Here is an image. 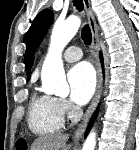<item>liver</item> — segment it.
<instances>
[{
    "label": "liver",
    "instance_id": "liver-1",
    "mask_svg": "<svg viewBox=\"0 0 139 150\" xmlns=\"http://www.w3.org/2000/svg\"><path fill=\"white\" fill-rule=\"evenodd\" d=\"M69 136L65 134H51L37 138L31 150H61L65 146Z\"/></svg>",
    "mask_w": 139,
    "mask_h": 150
}]
</instances>
